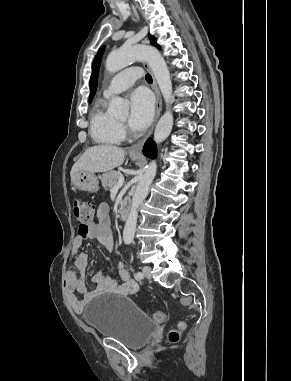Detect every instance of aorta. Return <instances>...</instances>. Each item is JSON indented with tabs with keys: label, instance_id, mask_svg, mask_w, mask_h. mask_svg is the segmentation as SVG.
I'll return each instance as SVG.
<instances>
[{
	"label": "aorta",
	"instance_id": "obj_1",
	"mask_svg": "<svg viewBox=\"0 0 291 381\" xmlns=\"http://www.w3.org/2000/svg\"><path fill=\"white\" fill-rule=\"evenodd\" d=\"M137 60L148 63L167 105L166 112L159 119L154 132V141L158 144L169 136L173 127V115L170 110V104L172 103V82L169 69L160 52L149 45L123 46L109 53L105 67L107 71L114 73ZM108 113L114 116L127 115L128 104L122 98L114 97L111 100ZM156 170V161H151L137 184L132 198L130 213L123 231V241L125 244H130L133 241L138 209L148 194L150 184L156 175Z\"/></svg>",
	"mask_w": 291,
	"mask_h": 381
}]
</instances>
